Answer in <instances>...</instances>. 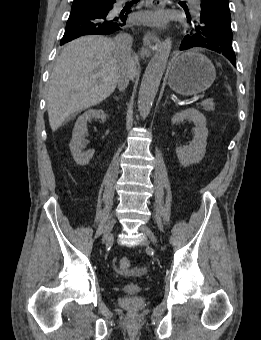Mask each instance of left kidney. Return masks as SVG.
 I'll return each mask as SVG.
<instances>
[{"instance_id":"obj_1","label":"left kidney","mask_w":261,"mask_h":340,"mask_svg":"<svg viewBox=\"0 0 261 340\" xmlns=\"http://www.w3.org/2000/svg\"><path fill=\"white\" fill-rule=\"evenodd\" d=\"M192 121L195 124L194 138L188 146L177 147L176 154L179 162L184 166L199 163L205 156L208 130L206 128V118L194 108L186 109L176 113L171 121L178 124L183 120Z\"/></svg>"}]
</instances>
